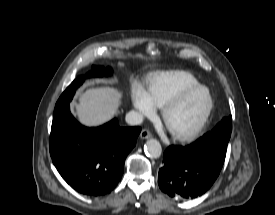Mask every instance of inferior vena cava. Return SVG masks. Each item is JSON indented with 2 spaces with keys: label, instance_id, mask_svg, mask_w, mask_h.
<instances>
[{
  "label": "inferior vena cava",
  "instance_id": "inferior-vena-cava-1",
  "mask_svg": "<svg viewBox=\"0 0 275 215\" xmlns=\"http://www.w3.org/2000/svg\"><path fill=\"white\" fill-rule=\"evenodd\" d=\"M126 122L130 125H139L143 122V116L139 112H136L134 110L128 112L126 114Z\"/></svg>",
  "mask_w": 275,
  "mask_h": 215
}]
</instances>
